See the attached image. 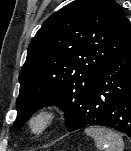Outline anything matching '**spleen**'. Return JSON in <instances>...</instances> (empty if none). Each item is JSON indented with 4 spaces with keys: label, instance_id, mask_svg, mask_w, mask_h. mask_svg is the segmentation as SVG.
<instances>
[{
    "label": "spleen",
    "instance_id": "spleen-1",
    "mask_svg": "<svg viewBox=\"0 0 131 151\" xmlns=\"http://www.w3.org/2000/svg\"><path fill=\"white\" fill-rule=\"evenodd\" d=\"M85 133L93 138L99 151H124L122 138L112 130L103 127H89L85 129Z\"/></svg>",
    "mask_w": 131,
    "mask_h": 151
}]
</instances>
